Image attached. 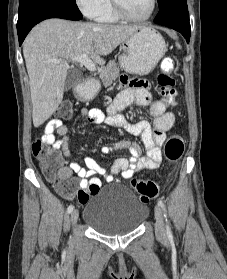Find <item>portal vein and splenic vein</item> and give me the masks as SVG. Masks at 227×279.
<instances>
[{"instance_id": "18ae733b", "label": "portal vein and splenic vein", "mask_w": 227, "mask_h": 279, "mask_svg": "<svg viewBox=\"0 0 227 279\" xmlns=\"http://www.w3.org/2000/svg\"><path fill=\"white\" fill-rule=\"evenodd\" d=\"M72 62H78L81 65H84L89 71H95L96 70V65L95 63L88 57L87 54H82L79 56H75L71 58ZM58 63L57 61H55Z\"/></svg>"}]
</instances>
